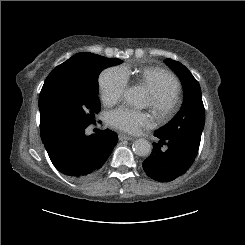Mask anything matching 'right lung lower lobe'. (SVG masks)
I'll return each mask as SVG.
<instances>
[{"label": "right lung lower lobe", "mask_w": 245, "mask_h": 245, "mask_svg": "<svg viewBox=\"0 0 245 245\" xmlns=\"http://www.w3.org/2000/svg\"><path fill=\"white\" fill-rule=\"evenodd\" d=\"M85 129H69L43 142L53 165L78 181L94 178L118 141L109 130L86 136Z\"/></svg>", "instance_id": "98d812e1"}]
</instances>
